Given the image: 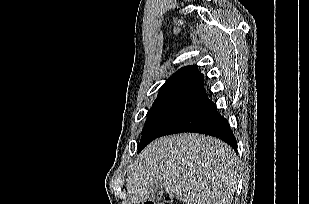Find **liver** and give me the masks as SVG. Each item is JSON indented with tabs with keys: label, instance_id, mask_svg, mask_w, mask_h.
Wrapping results in <instances>:
<instances>
[{
	"label": "liver",
	"instance_id": "1",
	"mask_svg": "<svg viewBox=\"0 0 309 204\" xmlns=\"http://www.w3.org/2000/svg\"><path fill=\"white\" fill-rule=\"evenodd\" d=\"M239 163L219 139L194 133L162 137L150 143L131 167L126 188L133 202L146 201L152 181L186 204H231Z\"/></svg>",
	"mask_w": 309,
	"mask_h": 204
}]
</instances>
